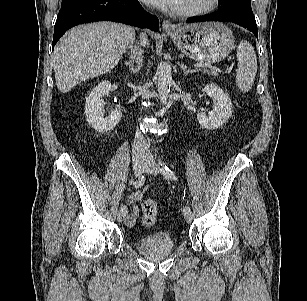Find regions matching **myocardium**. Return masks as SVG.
<instances>
[{
  "instance_id": "myocardium-1",
  "label": "myocardium",
  "mask_w": 307,
  "mask_h": 301,
  "mask_svg": "<svg viewBox=\"0 0 307 301\" xmlns=\"http://www.w3.org/2000/svg\"><path fill=\"white\" fill-rule=\"evenodd\" d=\"M220 0H204L200 5L185 8V9H175V14L180 17H196L200 15H205L215 10L219 4Z\"/></svg>"
}]
</instances>
